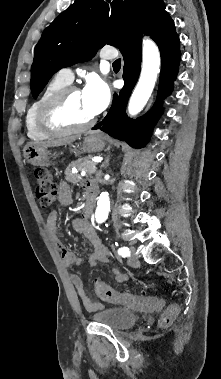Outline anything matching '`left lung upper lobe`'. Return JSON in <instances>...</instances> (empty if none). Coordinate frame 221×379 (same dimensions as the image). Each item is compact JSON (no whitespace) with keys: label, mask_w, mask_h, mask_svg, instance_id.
Masks as SVG:
<instances>
[{"label":"left lung upper lobe","mask_w":221,"mask_h":379,"mask_svg":"<svg viewBox=\"0 0 221 379\" xmlns=\"http://www.w3.org/2000/svg\"><path fill=\"white\" fill-rule=\"evenodd\" d=\"M161 1L75 0L44 30L35 47L33 97L37 98L61 68L91 59L105 44L119 48L127 37L140 31Z\"/></svg>","instance_id":"5c2ea615"}]
</instances>
